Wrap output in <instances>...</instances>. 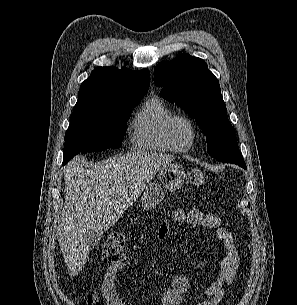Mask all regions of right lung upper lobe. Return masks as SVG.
<instances>
[{
    "label": "right lung upper lobe",
    "instance_id": "1",
    "mask_svg": "<svg viewBox=\"0 0 297 305\" xmlns=\"http://www.w3.org/2000/svg\"><path fill=\"white\" fill-rule=\"evenodd\" d=\"M150 86L147 69L132 71L125 67H96L78 92L74 107L106 105L130 98H143Z\"/></svg>",
    "mask_w": 297,
    "mask_h": 305
}]
</instances>
